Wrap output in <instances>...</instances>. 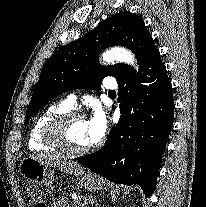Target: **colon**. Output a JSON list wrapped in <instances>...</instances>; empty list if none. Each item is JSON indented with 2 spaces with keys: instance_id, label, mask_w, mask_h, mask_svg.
<instances>
[{
  "instance_id": "1",
  "label": "colon",
  "mask_w": 206,
  "mask_h": 207,
  "mask_svg": "<svg viewBox=\"0 0 206 207\" xmlns=\"http://www.w3.org/2000/svg\"><path fill=\"white\" fill-rule=\"evenodd\" d=\"M24 190L27 202L32 204L33 207H45L41 194L38 192L37 188L33 184H25Z\"/></svg>"
}]
</instances>
